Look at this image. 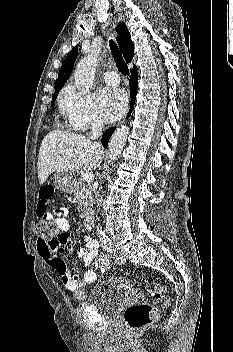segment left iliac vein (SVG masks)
<instances>
[{
	"label": "left iliac vein",
	"mask_w": 233,
	"mask_h": 352,
	"mask_svg": "<svg viewBox=\"0 0 233 352\" xmlns=\"http://www.w3.org/2000/svg\"><path fill=\"white\" fill-rule=\"evenodd\" d=\"M121 256L123 257V259L126 261L129 258V255L127 252H125L124 250H121Z\"/></svg>",
	"instance_id": "1"
}]
</instances>
